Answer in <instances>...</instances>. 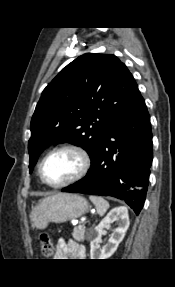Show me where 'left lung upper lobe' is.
Segmentation results:
<instances>
[{"label": "left lung upper lobe", "mask_w": 175, "mask_h": 287, "mask_svg": "<svg viewBox=\"0 0 175 287\" xmlns=\"http://www.w3.org/2000/svg\"><path fill=\"white\" fill-rule=\"evenodd\" d=\"M138 92L115 55L87 53L72 61L44 89L33 114L30 173L45 148L63 142L85 149L92 163L106 131Z\"/></svg>", "instance_id": "left-lung-upper-lobe-1"}]
</instances>
